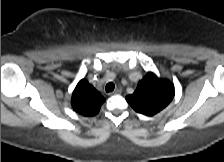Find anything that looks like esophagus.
<instances>
[{
    "instance_id": "1",
    "label": "esophagus",
    "mask_w": 224,
    "mask_h": 162,
    "mask_svg": "<svg viewBox=\"0 0 224 162\" xmlns=\"http://www.w3.org/2000/svg\"><path fill=\"white\" fill-rule=\"evenodd\" d=\"M122 90L120 88L115 89L113 92H110L108 95L121 94Z\"/></svg>"
}]
</instances>
